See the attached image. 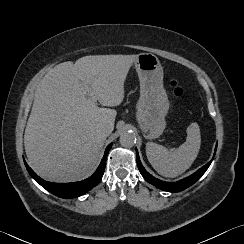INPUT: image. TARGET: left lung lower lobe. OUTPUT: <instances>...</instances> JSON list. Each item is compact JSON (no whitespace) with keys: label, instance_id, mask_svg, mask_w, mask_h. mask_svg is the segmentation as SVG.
<instances>
[{"label":"left lung lower lobe","instance_id":"left-lung-lower-lobe-1","mask_svg":"<svg viewBox=\"0 0 244 244\" xmlns=\"http://www.w3.org/2000/svg\"><path fill=\"white\" fill-rule=\"evenodd\" d=\"M136 154H137V165H138L141 175L149 183L153 184L154 186L158 187L161 190L168 191V192H179V191H182V190L188 188L192 184H194L206 172V170L208 169V167L210 166V164L213 160L212 159L210 162H208L205 166L200 168L194 174H192L180 181L170 183V182H163L159 179L154 178L152 175H150L143 167V165L140 161L137 149H136Z\"/></svg>","mask_w":244,"mask_h":244}]
</instances>
